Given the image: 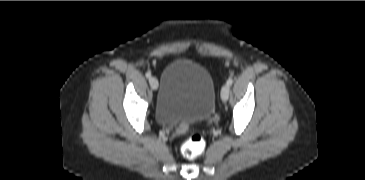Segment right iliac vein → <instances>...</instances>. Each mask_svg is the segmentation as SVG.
<instances>
[{
  "label": "right iliac vein",
  "instance_id": "63e3f726",
  "mask_svg": "<svg viewBox=\"0 0 365 180\" xmlns=\"http://www.w3.org/2000/svg\"><path fill=\"white\" fill-rule=\"evenodd\" d=\"M149 83L152 89L154 90L158 89V80L155 77L149 78Z\"/></svg>",
  "mask_w": 365,
  "mask_h": 180
}]
</instances>
